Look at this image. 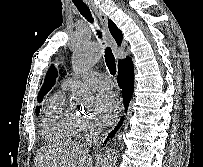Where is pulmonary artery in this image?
Returning a JSON list of instances; mask_svg holds the SVG:
<instances>
[{"label":"pulmonary artery","mask_w":203,"mask_h":167,"mask_svg":"<svg viewBox=\"0 0 203 167\" xmlns=\"http://www.w3.org/2000/svg\"><path fill=\"white\" fill-rule=\"evenodd\" d=\"M83 81L93 90H107L112 87V81L106 75L88 71L82 75ZM73 81L72 77H68L64 80L63 85L68 87Z\"/></svg>","instance_id":"obj_1"}]
</instances>
